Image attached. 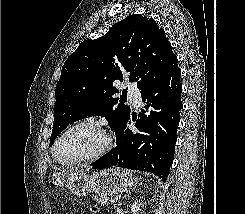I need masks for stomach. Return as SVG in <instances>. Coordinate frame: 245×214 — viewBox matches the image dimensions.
<instances>
[{
    "instance_id": "1",
    "label": "stomach",
    "mask_w": 245,
    "mask_h": 214,
    "mask_svg": "<svg viewBox=\"0 0 245 214\" xmlns=\"http://www.w3.org/2000/svg\"><path fill=\"white\" fill-rule=\"evenodd\" d=\"M50 182L56 188L67 187L78 196L89 193L98 195H112L123 193L136 184L137 179L133 174L118 167L100 170L92 175L74 171L68 175L64 172H53Z\"/></svg>"
}]
</instances>
